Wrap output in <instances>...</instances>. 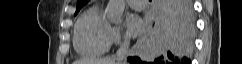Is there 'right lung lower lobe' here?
I'll return each instance as SVG.
<instances>
[{
  "instance_id": "1",
  "label": "right lung lower lobe",
  "mask_w": 242,
  "mask_h": 64,
  "mask_svg": "<svg viewBox=\"0 0 242 64\" xmlns=\"http://www.w3.org/2000/svg\"><path fill=\"white\" fill-rule=\"evenodd\" d=\"M155 16L160 26L161 54L154 64L189 62L194 36V17L190 0H156ZM131 64H146L140 58H127Z\"/></svg>"
}]
</instances>
